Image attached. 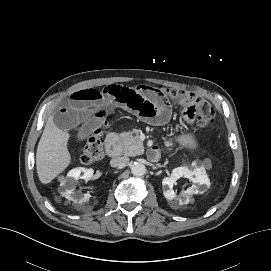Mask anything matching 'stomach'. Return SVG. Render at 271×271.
<instances>
[{
  "mask_svg": "<svg viewBox=\"0 0 271 271\" xmlns=\"http://www.w3.org/2000/svg\"><path fill=\"white\" fill-rule=\"evenodd\" d=\"M177 143L187 149L195 150L198 146L196 139L192 134H183L176 138Z\"/></svg>",
  "mask_w": 271,
  "mask_h": 271,
  "instance_id": "stomach-1",
  "label": "stomach"
}]
</instances>
